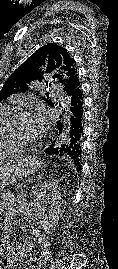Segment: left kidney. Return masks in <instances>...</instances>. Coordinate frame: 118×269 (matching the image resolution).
Wrapping results in <instances>:
<instances>
[{
	"label": "left kidney",
	"mask_w": 118,
	"mask_h": 269,
	"mask_svg": "<svg viewBox=\"0 0 118 269\" xmlns=\"http://www.w3.org/2000/svg\"><path fill=\"white\" fill-rule=\"evenodd\" d=\"M47 194L50 197L49 201L44 199ZM60 200L61 190L58 181L49 180L35 186L31 202L32 215L40 228L46 232L54 231L61 217Z\"/></svg>",
	"instance_id": "5707ae66"
}]
</instances>
